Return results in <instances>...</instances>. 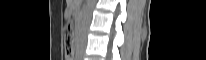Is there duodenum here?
<instances>
[{"label":"duodenum","mask_w":206,"mask_h":60,"mask_svg":"<svg viewBox=\"0 0 206 60\" xmlns=\"http://www.w3.org/2000/svg\"><path fill=\"white\" fill-rule=\"evenodd\" d=\"M77 33H78V34H83V33H84V30H83V29H78V30H77Z\"/></svg>","instance_id":"410a0bca"}]
</instances>
